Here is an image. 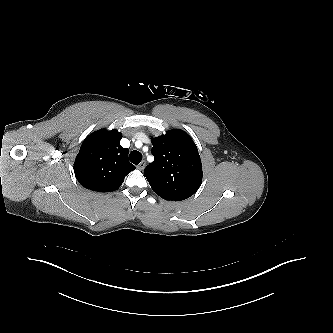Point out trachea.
<instances>
[{
	"mask_svg": "<svg viewBox=\"0 0 333 333\" xmlns=\"http://www.w3.org/2000/svg\"><path fill=\"white\" fill-rule=\"evenodd\" d=\"M129 158L133 164L138 165L142 160V154L139 151L133 150Z\"/></svg>",
	"mask_w": 333,
	"mask_h": 333,
	"instance_id": "3493384b",
	"label": "trachea"
}]
</instances>
